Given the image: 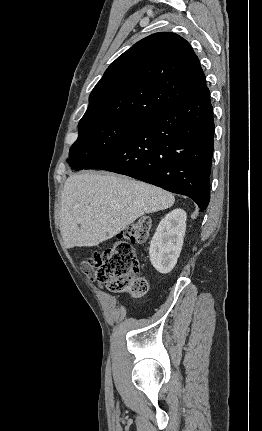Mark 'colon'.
I'll return each instance as SVG.
<instances>
[{
	"mask_svg": "<svg viewBox=\"0 0 262 431\" xmlns=\"http://www.w3.org/2000/svg\"><path fill=\"white\" fill-rule=\"evenodd\" d=\"M152 225V219L144 217L123 230L112 245L93 258L85 256L81 261L84 273L109 291L125 292L134 298L144 296L147 282L134 246L147 239Z\"/></svg>",
	"mask_w": 262,
	"mask_h": 431,
	"instance_id": "5ec220e1",
	"label": "colon"
}]
</instances>
